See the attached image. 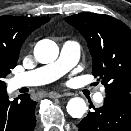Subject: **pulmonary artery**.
I'll use <instances>...</instances> for the list:
<instances>
[{"label": "pulmonary artery", "mask_w": 131, "mask_h": 131, "mask_svg": "<svg viewBox=\"0 0 131 131\" xmlns=\"http://www.w3.org/2000/svg\"><path fill=\"white\" fill-rule=\"evenodd\" d=\"M80 57V45L76 41L67 40L63 43L58 59L38 69L17 74L12 79V86L20 88L24 86H38L57 80L78 62ZM104 98V90L94 94V100L101 103Z\"/></svg>", "instance_id": "e3ab8cb5"}]
</instances>
